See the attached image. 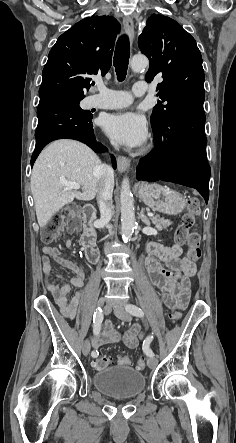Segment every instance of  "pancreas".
Here are the masks:
<instances>
[{
  "instance_id": "1",
  "label": "pancreas",
  "mask_w": 236,
  "mask_h": 443,
  "mask_svg": "<svg viewBox=\"0 0 236 443\" xmlns=\"http://www.w3.org/2000/svg\"><path fill=\"white\" fill-rule=\"evenodd\" d=\"M151 221L156 229L162 230L169 227L172 222L170 220H165L164 218H161L160 216L151 217Z\"/></svg>"
}]
</instances>
